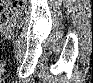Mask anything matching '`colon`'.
I'll return each mask as SVG.
<instances>
[{"label":"colon","mask_w":93,"mask_h":83,"mask_svg":"<svg viewBox=\"0 0 93 83\" xmlns=\"http://www.w3.org/2000/svg\"><path fill=\"white\" fill-rule=\"evenodd\" d=\"M22 4H23L22 1L4 2V4L2 5V8H1L2 9L1 11L3 13L8 12V11L14 12L17 10V7L21 6Z\"/></svg>","instance_id":"obj_1"}]
</instances>
